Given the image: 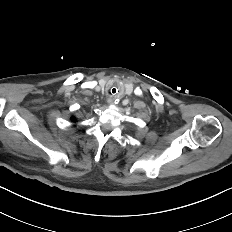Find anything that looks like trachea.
<instances>
[{"instance_id":"3493384b","label":"trachea","mask_w":232,"mask_h":232,"mask_svg":"<svg viewBox=\"0 0 232 232\" xmlns=\"http://www.w3.org/2000/svg\"><path fill=\"white\" fill-rule=\"evenodd\" d=\"M119 92H120V91H119V88L116 87V86L111 87V88L109 89V91H108V93H109V95H110L111 97L116 96Z\"/></svg>"}]
</instances>
